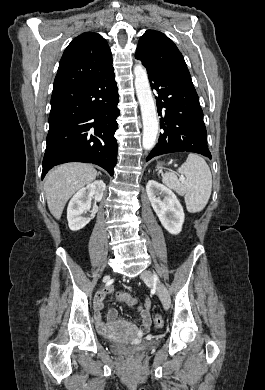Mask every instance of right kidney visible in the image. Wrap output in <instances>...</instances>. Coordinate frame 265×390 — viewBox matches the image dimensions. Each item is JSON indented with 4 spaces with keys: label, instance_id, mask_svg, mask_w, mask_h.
Wrapping results in <instances>:
<instances>
[{
    "label": "right kidney",
    "instance_id": "ca27d5eb",
    "mask_svg": "<svg viewBox=\"0 0 265 390\" xmlns=\"http://www.w3.org/2000/svg\"><path fill=\"white\" fill-rule=\"evenodd\" d=\"M105 188V183L97 180L80 189L71 198L67 208V220L72 231H78L90 222L91 217L87 216V213L91 209V199L94 198L95 202L101 201Z\"/></svg>",
    "mask_w": 265,
    "mask_h": 390
}]
</instances>
